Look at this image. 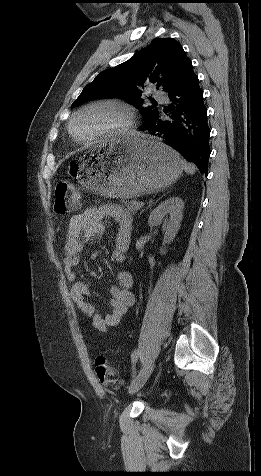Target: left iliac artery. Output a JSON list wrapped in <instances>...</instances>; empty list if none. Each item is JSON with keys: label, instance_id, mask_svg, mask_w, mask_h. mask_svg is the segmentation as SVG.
<instances>
[{"label": "left iliac artery", "instance_id": "left-iliac-artery-1", "mask_svg": "<svg viewBox=\"0 0 261 476\" xmlns=\"http://www.w3.org/2000/svg\"><path fill=\"white\" fill-rule=\"evenodd\" d=\"M139 355H140V350H139V349L133 351V353H132V355H131L133 364L136 363V361H137ZM135 375H136V371H135V368H133V375H132V377H135Z\"/></svg>", "mask_w": 261, "mask_h": 476}]
</instances>
